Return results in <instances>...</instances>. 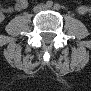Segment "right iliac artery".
<instances>
[{
    "instance_id": "82829eb1",
    "label": "right iliac artery",
    "mask_w": 91,
    "mask_h": 91,
    "mask_svg": "<svg viewBox=\"0 0 91 91\" xmlns=\"http://www.w3.org/2000/svg\"><path fill=\"white\" fill-rule=\"evenodd\" d=\"M46 6L47 7H52L53 6V2L52 1H47Z\"/></svg>"
}]
</instances>
